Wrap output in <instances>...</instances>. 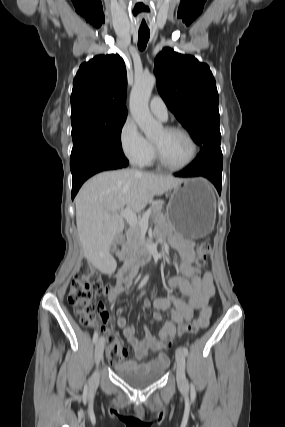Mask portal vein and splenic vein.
<instances>
[{
	"instance_id": "1",
	"label": "portal vein and splenic vein",
	"mask_w": 285,
	"mask_h": 427,
	"mask_svg": "<svg viewBox=\"0 0 285 427\" xmlns=\"http://www.w3.org/2000/svg\"><path fill=\"white\" fill-rule=\"evenodd\" d=\"M151 214V211L148 210L144 213L141 218L137 217V214L133 212L130 208H124L120 211V216L125 218L130 226L139 225L142 230H147L148 228V219Z\"/></svg>"
}]
</instances>
